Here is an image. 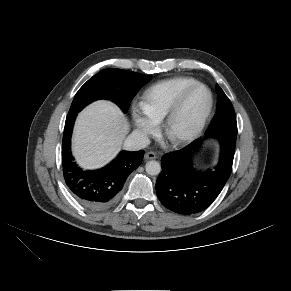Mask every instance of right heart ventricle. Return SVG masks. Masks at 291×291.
<instances>
[{"instance_id":"obj_1","label":"right heart ventricle","mask_w":291,"mask_h":291,"mask_svg":"<svg viewBox=\"0 0 291 291\" xmlns=\"http://www.w3.org/2000/svg\"><path fill=\"white\" fill-rule=\"evenodd\" d=\"M196 83L198 80L189 76H177L159 81L145 90L141 108L149 118L159 123L180 94Z\"/></svg>"}]
</instances>
